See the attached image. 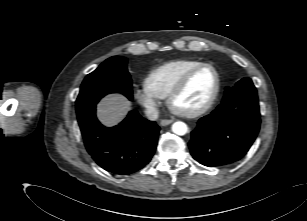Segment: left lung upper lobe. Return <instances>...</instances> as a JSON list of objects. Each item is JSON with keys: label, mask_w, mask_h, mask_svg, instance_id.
Masks as SVG:
<instances>
[{"label": "left lung upper lobe", "mask_w": 307, "mask_h": 221, "mask_svg": "<svg viewBox=\"0 0 307 221\" xmlns=\"http://www.w3.org/2000/svg\"><path fill=\"white\" fill-rule=\"evenodd\" d=\"M256 93L255 86L250 78H243L238 81L234 87H227L223 99L235 95H247Z\"/></svg>", "instance_id": "5c2ea615"}]
</instances>
